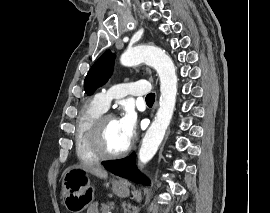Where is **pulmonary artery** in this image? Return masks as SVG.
Wrapping results in <instances>:
<instances>
[{
	"instance_id": "pulmonary-artery-1",
	"label": "pulmonary artery",
	"mask_w": 270,
	"mask_h": 213,
	"mask_svg": "<svg viewBox=\"0 0 270 213\" xmlns=\"http://www.w3.org/2000/svg\"><path fill=\"white\" fill-rule=\"evenodd\" d=\"M150 91L148 82L131 81L114 85L110 89L103 90L95 96L97 104L106 110L112 100L121 99L127 95L142 96L147 95Z\"/></svg>"
}]
</instances>
